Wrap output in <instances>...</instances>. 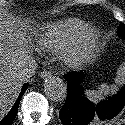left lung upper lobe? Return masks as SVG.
<instances>
[{
	"label": "left lung upper lobe",
	"instance_id": "5c2ea615",
	"mask_svg": "<svg viewBox=\"0 0 125 125\" xmlns=\"http://www.w3.org/2000/svg\"><path fill=\"white\" fill-rule=\"evenodd\" d=\"M119 33L125 38V24L120 23V25H119Z\"/></svg>",
	"mask_w": 125,
	"mask_h": 125
}]
</instances>
